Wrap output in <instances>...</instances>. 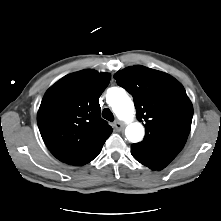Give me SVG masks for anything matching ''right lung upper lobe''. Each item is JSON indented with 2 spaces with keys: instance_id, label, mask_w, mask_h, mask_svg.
Listing matches in <instances>:
<instances>
[{
  "instance_id": "obj_1",
  "label": "right lung upper lobe",
  "mask_w": 221,
  "mask_h": 221,
  "mask_svg": "<svg viewBox=\"0 0 221 221\" xmlns=\"http://www.w3.org/2000/svg\"><path fill=\"white\" fill-rule=\"evenodd\" d=\"M111 75L95 70L69 74L45 93L37 123L44 143L60 161L82 165L112 133L100 117L99 97Z\"/></svg>"
}]
</instances>
